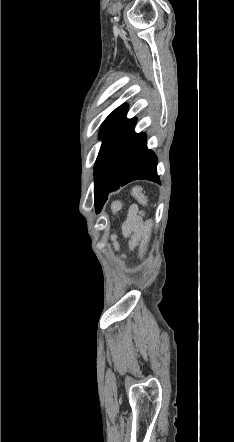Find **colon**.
I'll return each instance as SVG.
<instances>
[{"label": "colon", "instance_id": "5ec220e1", "mask_svg": "<svg viewBox=\"0 0 234 442\" xmlns=\"http://www.w3.org/2000/svg\"><path fill=\"white\" fill-rule=\"evenodd\" d=\"M132 193L134 195V197L144 206H149V201L147 196L144 194V192L142 191V189L139 186H134L132 188ZM151 224L149 223V226ZM140 262L142 264H145L147 262V259L143 256H140Z\"/></svg>", "mask_w": 234, "mask_h": 442}]
</instances>
